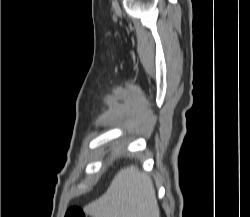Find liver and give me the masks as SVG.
Masks as SVG:
<instances>
[{
    "label": "liver",
    "mask_w": 250,
    "mask_h": 217,
    "mask_svg": "<svg viewBox=\"0 0 250 217\" xmlns=\"http://www.w3.org/2000/svg\"><path fill=\"white\" fill-rule=\"evenodd\" d=\"M84 210L92 217H160L153 182L134 165L122 168L107 191Z\"/></svg>",
    "instance_id": "1"
}]
</instances>
